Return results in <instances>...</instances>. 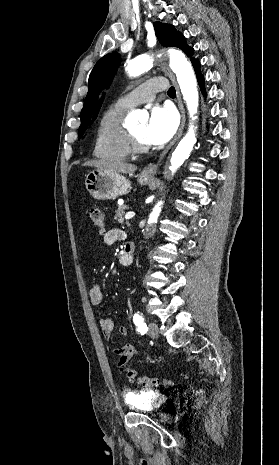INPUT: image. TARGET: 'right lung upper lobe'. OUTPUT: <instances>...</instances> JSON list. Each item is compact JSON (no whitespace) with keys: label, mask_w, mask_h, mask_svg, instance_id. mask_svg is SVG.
<instances>
[{"label":"right lung upper lobe","mask_w":279,"mask_h":465,"mask_svg":"<svg viewBox=\"0 0 279 465\" xmlns=\"http://www.w3.org/2000/svg\"><path fill=\"white\" fill-rule=\"evenodd\" d=\"M102 100H103V99L100 100L99 105H98L97 108H96L95 115H94V119H95V117L97 116V113H98L99 108H100V106H101Z\"/></svg>","instance_id":"obj_1"}]
</instances>
